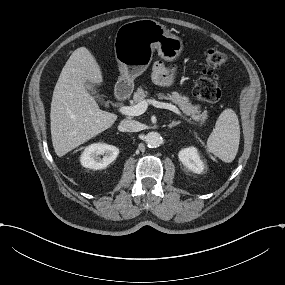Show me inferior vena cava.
Instances as JSON below:
<instances>
[{"instance_id": "602c4592", "label": "inferior vena cava", "mask_w": 285, "mask_h": 285, "mask_svg": "<svg viewBox=\"0 0 285 285\" xmlns=\"http://www.w3.org/2000/svg\"><path fill=\"white\" fill-rule=\"evenodd\" d=\"M120 128L126 132H138L141 129V124L135 120H122L120 123Z\"/></svg>"}]
</instances>
